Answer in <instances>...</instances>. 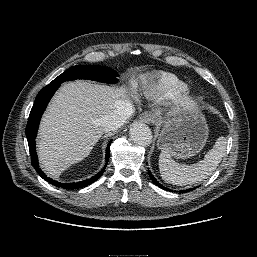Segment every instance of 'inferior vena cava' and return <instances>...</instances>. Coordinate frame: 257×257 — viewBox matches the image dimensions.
<instances>
[{"instance_id":"inferior-vena-cava-1","label":"inferior vena cava","mask_w":257,"mask_h":257,"mask_svg":"<svg viewBox=\"0 0 257 257\" xmlns=\"http://www.w3.org/2000/svg\"><path fill=\"white\" fill-rule=\"evenodd\" d=\"M133 108L129 104H123L118 109L111 111L109 114L100 119L101 126L107 131H113L120 128L126 120L132 116Z\"/></svg>"}]
</instances>
